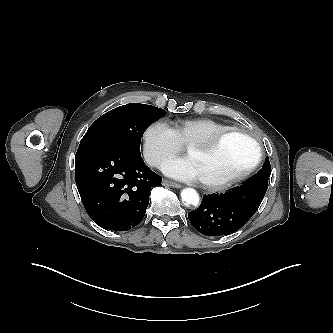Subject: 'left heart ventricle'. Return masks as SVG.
I'll use <instances>...</instances> for the list:
<instances>
[{"instance_id":"left-heart-ventricle-1","label":"left heart ventricle","mask_w":333,"mask_h":333,"mask_svg":"<svg viewBox=\"0 0 333 333\" xmlns=\"http://www.w3.org/2000/svg\"><path fill=\"white\" fill-rule=\"evenodd\" d=\"M188 156L194 162L200 180L219 182L245 169L254 159L255 149L249 139L234 134L211 151L190 149Z\"/></svg>"}]
</instances>
